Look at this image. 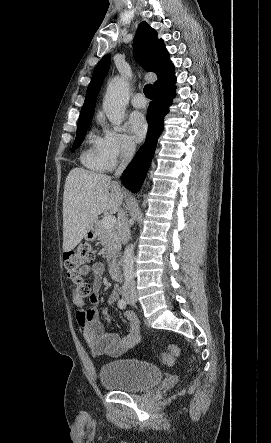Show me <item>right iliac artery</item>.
<instances>
[{"mask_svg":"<svg viewBox=\"0 0 271 443\" xmlns=\"http://www.w3.org/2000/svg\"><path fill=\"white\" fill-rule=\"evenodd\" d=\"M126 306H127V301H126L124 298H121V299L118 301V307H119L120 309H125Z\"/></svg>","mask_w":271,"mask_h":443,"instance_id":"obj_1","label":"right iliac artery"}]
</instances>
